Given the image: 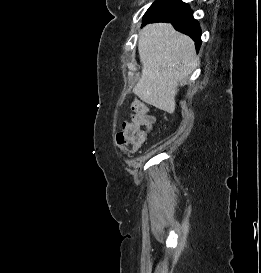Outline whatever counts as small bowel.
<instances>
[{"label":"small bowel","instance_id":"small-bowel-1","mask_svg":"<svg viewBox=\"0 0 261 273\" xmlns=\"http://www.w3.org/2000/svg\"><path fill=\"white\" fill-rule=\"evenodd\" d=\"M131 117L133 118V115H131ZM130 122H125L124 125H123V128H126L128 126ZM156 123V118L153 117V116H148L145 120H143L142 124H141V127H144V128H151L152 125Z\"/></svg>","mask_w":261,"mask_h":273}]
</instances>
